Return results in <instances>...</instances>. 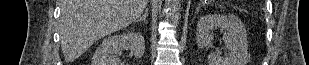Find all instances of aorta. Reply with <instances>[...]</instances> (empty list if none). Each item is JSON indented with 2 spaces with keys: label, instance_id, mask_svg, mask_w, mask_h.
<instances>
[{
  "label": "aorta",
  "instance_id": "1",
  "mask_svg": "<svg viewBox=\"0 0 309 65\" xmlns=\"http://www.w3.org/2000/svg\"><path fill=\"white\" fill-rule=\"evenodd\" d=\"M174 2V13H173V22L175 24L179 23V11L181 7V0H173Z\"/></svg>",
  "mask_w": 309,
  "mask_h": 65
}]
</instances>
